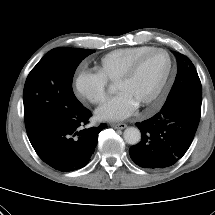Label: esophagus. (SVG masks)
<instances>
[{
  "label": "esophagus",
  "mask_w": 215,
  "mask_h": 215,
  "mask_svg": "<svg viewBox=\"0 0 215 215\" xmlns=\"http://www.w3.org/2000/svg\"><path fill=\"white\" fill-rule=\"evenodd\" d=\"M111 127L115 129H124L127 127V125L125 123H112Z\"/></svg>",
  "instance_id": "1"
}]
</instances>
